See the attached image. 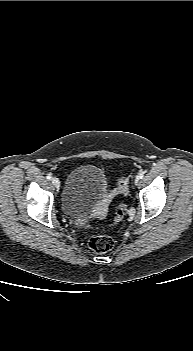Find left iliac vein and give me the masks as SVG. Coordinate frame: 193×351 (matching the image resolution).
<instances>
[{
  "mask_svg": "<svg viewBox=\"0 0 193 351\" xmlns=\"http://www.w3.org/2000/svg\"><path fill=\"white\" fill-rule=\"evenodd\" d=\"M138 182H139V179L136 177L135 180H134L135 185H137Z\"/></svg>",
  "mask_w": 193,
  "mask_h": 351,
  "instance_id": "obj_1",
  "label": "left iliac vein"
}]
</instances>
